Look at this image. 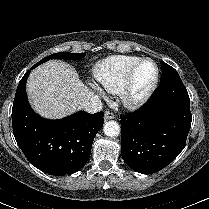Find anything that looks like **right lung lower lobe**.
<instances>
[{
  "label": "right lung lower lobe",
  "mask_w": 209,
  "mask_h": 209,
  "mask_svg": "<svg viewBox=\"0 0 209 209\" xmlns=\"http://www.w3.org/2000/svg\"><path fill=\"white\" fill-rule=\"evenodd\" d=\"M29 73L30 70L19 82L12 107L17 144L28 161L46 173L62 176L77 172L90 157L95 135L104 123V113L80 111L60 120L41 118L27 100Z\"/></svg>",
  "instance_id": "98d812e1"
}]
</instances>
